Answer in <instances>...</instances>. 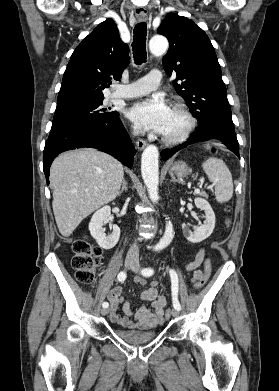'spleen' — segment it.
<instances>
[{"mask_svg":"<svg viewBox=\"0 0 279 391\" xmlns=\"http://www.w3.org/2000/svg\"><path fill=\"white\" fill-rule=\"evenodd\" d=\"M204 172L215 186V196L219 203L227 202L233 195V180L231 172L223 160L208 158L202 164Z\"/></svg>","mask_w":279,"mask_h":391,"instance_id":"obj_1","label":"spleen"}]
</instances>
